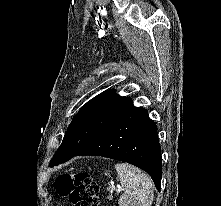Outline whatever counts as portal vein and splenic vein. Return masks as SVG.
Listing matches in <instances>:
<instances>
[{"instance_id":"obj_1","label":"portal vein and splenic vein","mask_w":221,"mask_h":206,"mask_svg":"<svg viewBox=\"0 0 221 206\" xmlns=\"http://www.w3.org/2000/svg\"><path fill=\"white\" fill-rule=\"evenodd\" d=\"M114 190H117L118 192H120L121 191V187H115V185H112L111 186V191H114Z\"/></svg>"}]
</instances>
